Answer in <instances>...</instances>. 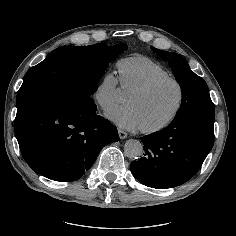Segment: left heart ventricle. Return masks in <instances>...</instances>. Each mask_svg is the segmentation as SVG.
I'll use <instances>...</instances> for the list:
<instances>
[{
  "instance_id": "left-heart-ventricle-1",
  "label": "left heart ventricle",
  "mask_w": 236,
  "mask_h": 236,
  "mask_svg": "<svg viewBox=\"0 0 236 236\" xmlns=\"http://www.w3.org/2000/svg\"><path fill=\"white\" fill-rule=\"evenodd\" d=\"M178 99L177 87L173 83H166L145 96L129 94L126 101L137 111L140 127H153L172 114Z\"/></svg>"
}]
</instances>
